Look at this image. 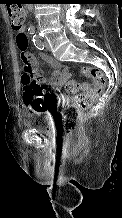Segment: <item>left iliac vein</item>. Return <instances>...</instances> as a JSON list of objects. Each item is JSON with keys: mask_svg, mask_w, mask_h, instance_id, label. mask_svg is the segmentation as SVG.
I'll return each mask as SVG.
<instances>
[{"mask_svg": "<svg viewBox=\"0 0 122 218\" xmlns=\"http://www.w3.org/2000/svg\"><path fill=\"white\" fill-rule=\"evenodd\" d=\"M43 45H44L46 50H50V45H49V43L47 41H44Z\"/></svg>", "mask_w": 122, "mask_h": 218, "instance_id": "4c4485c4", "label": "left iliac vein"}]
</instances>
